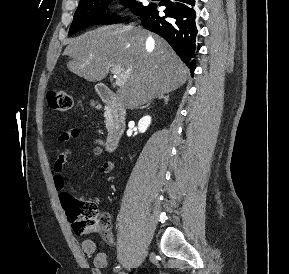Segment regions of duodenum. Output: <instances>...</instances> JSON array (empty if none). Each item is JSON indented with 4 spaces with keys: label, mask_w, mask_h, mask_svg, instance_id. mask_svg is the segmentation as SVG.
<instances>
[{
    "label": "duodenum",
    "mask_w": 289,
    "mask_h": 274,
    "mask_svg": "<svg viewBox=\"0 0 289 274\" xmlns=\"http://www.w3.org/2000/svg\"><path fill=\"white\" fill-rule=\"evenodd\" d=\"M97 91L106 104L110 115V126L105 140V148L109 152L117 149L125 129L126 111L115 94L105 85H99Z\"/></svg>",
    "instance_id": "obj_1"
}]
</instances>
